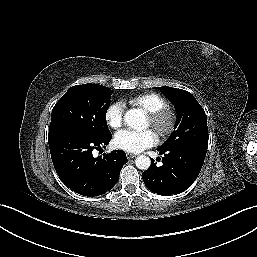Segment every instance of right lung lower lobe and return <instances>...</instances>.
<instances>
[{
  "label": "right lung lower lobe",
  "instance_id": "right-lung-lower-lobe-1",
  "mask_svg": "<svg viewBox=\"0 0 257 257\" xmlns=\"http://www.w3.org/2000/svg\"><path fill=\"white\" fill-rule=\"evenodd\" d=\"M111 135L97 138L79 130H61L48 134L54 168L61 181L72 191L87 197L106 193L118 181L127 158L122 150L104 157L92 151L107 145Z\"/></svg>",
  "mask_w": 257,
  "mask_h": 257
}]
</instances>
